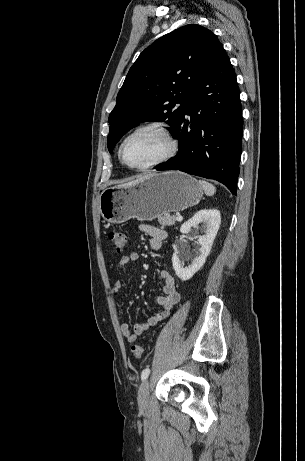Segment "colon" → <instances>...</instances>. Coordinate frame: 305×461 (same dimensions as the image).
<instances>
[{"instance_id":"1","label":"colon","mask_w":305,"mask_h":461,"mask_svg":"<svg viewBox=\"0 0 305 461\" xmlns=\"http://www.w3.org/2000/svg\"><path fill=\"white\" fill-rule=\"evenodd\" d=\"M108 238L116 252H123L127 245V235L119 231H110ZM132 355L136 359H140L143 356V348L140 345L132 346Z\"/></svg>"}]
</instances>
